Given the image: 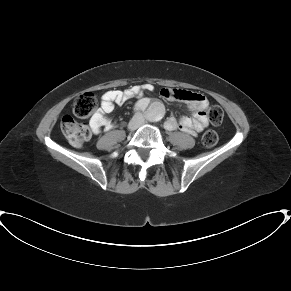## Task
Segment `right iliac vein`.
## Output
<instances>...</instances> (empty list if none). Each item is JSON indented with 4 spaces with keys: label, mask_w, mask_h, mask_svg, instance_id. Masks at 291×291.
Returning a JSON list of instances; mask_svg holds the SVG:
<instances>
[{
    "label": "right iliac vein",
    "mask_w": 291,
    "mask_h": 291,
    "mask_svg": "<svg viewBox=\"0 0 291 291\" xmlns=\"http://www.w3.org/2000/svg\"><path fill=\"white\" fill-rule=\"evenodd\" d=\"M138 125V120L136 118H133L128 124V129L130 131H134L138 128Z\"/></svg>",
    "instance_id": "obj_1"
}]
</instances>
